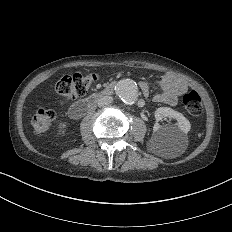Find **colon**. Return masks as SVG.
Returning a JSON list of instances; mask_svg holds the SVG:
<instances>
[{
	"label": "colon",
	"mask_w": 232,
	"mask_h": 232,
	"mask_svg": "<svg viewBox=\"0 0 232 232\" xmlns=\"http://www.w3.org/2000/svg\"><path fill=\"white\" fill-rule=\"evenodd\" d=\"M99 80V75L95 71H90L87 75L81 74L78 70H73L65 77H61L55 84L57 93H64L66 96H71L73 93L83 95L88 89H94V84ZM88 82L90 84H88ZM184 102H180V107H185L187 117H200L202 114L201 103L202 98L200 95L193 92L183 94ZM53 110L47 108H38L37 116H31V121L34 124V133L42 134L43 131H52Z\"/></svg>",
	"instance_id": "5ec220e1"
}]
</instances>
